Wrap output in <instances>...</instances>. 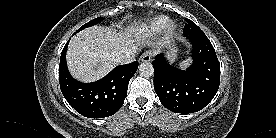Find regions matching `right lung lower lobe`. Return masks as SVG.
Masks as SVG:
<instances>
[{"instance_id":"1","label":"right lung lower lobe","mask_w":276,"mask_h":138,"mask_svg":"<svg viewBox=\"0 0 276 138\" xmlns=\"http://www.w3.org/2000/svg\"><path fill=\"white\" fill-rule=\"evenodd\" d=\"M67 44L59 64V82L62 94L69 104L88 118H104L115 114L127 96L128 83L138 68V62L119 65L104 78L82 83L69 73L66 64Z\"/></svg>"}]
</instances>
